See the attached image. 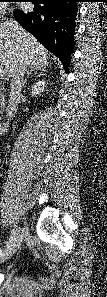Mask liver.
<instances>
[{"label": "liver", "mask_w": 107, "mask_h": 297, "mask_svg": "<svg viewBox=\"0 0 107 297\" xmlns=\"http://www.w3.org/2000/svg\"><path fill=\"white\" fill-rule=\"evenodd\" d=\"M24 52L32 65L46 63L44 50L38 42L28 33L19 27L16 36L5 34L0 29V75L10 77L16 56L19 52Z\"/></svg>", "instance_id": "liver-1"}]
</instances>
